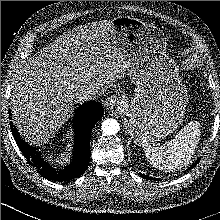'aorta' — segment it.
Returning a JSON list of instances; mask_svg holds the SVG:
<instances>
[{"label":"aorta","instance_id":"obj_1","mask_svg":"<svg viewBox=\"0 0 220 220\" xmlns=\"http://www.w3.org/2000/svg\"><path fill=\"white\" fill-rule=\"evenodd\" d=\"M102 131L105 135H115L118 133L120 126L115 119H106L102 122Z\"/></svg>","mask_w":220,"mask_h":220}]
</instances>
